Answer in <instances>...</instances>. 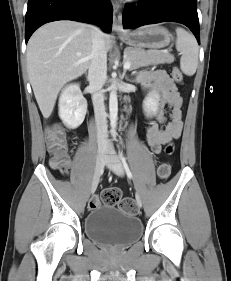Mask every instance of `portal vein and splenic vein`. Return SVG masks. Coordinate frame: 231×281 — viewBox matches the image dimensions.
Listing matches in <instances>:
<instances>
[{"label":"portal vein and splenic vein","mask_w":231,"mask_h":281,"mask_svg":"<svg viewBox=\"0 0 231 281\" xmlns=\"http://www.w3.org/2000/svg\"><path fill=\"white\" fill-rule=\"evenodd\" d=\"M130 66H131V63L129 61H127V62L124 63L123 67H124L125 70H128L130 68Z\"/></svg>","instance_id":"portal-vein-and-splenic-vein-1"}]
</instances>
